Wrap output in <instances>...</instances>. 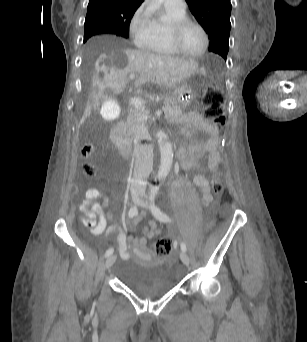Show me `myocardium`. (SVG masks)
Here are the masks:
<instances>
[{
    "label": "myocardium",
    "mask_w": 307,
    "mask_h": 342,
    "mask_svg": "<svg viewBox=\"0 0 307 342\" xmlns=\"http://www.w3.org/2000/svg\"><path fill=\"white\" fill-rule=\"evenodd\" d=\"M192 23L200 26L204 34V47L201 53L198 55L189 54L182 43V36L186 27ZM168 39L173 48L181 55L191 60H199L203 58L208 52L210 45V38L207 26L199 18L193 16H185L180 19L171 20L167 27Z\"/></svg>",
    "instance_id": "1"
}]
</instances>
